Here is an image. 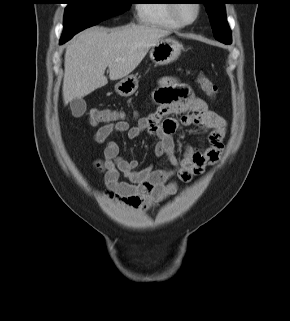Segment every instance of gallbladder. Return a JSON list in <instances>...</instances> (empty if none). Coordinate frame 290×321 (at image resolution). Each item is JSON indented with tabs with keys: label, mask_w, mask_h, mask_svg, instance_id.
<instances>
[{
	"label": "gallbladder",
	"mask_w": 290,
	"mask_h": 321,
	"mask_svg": "<svg viewBox=\"0 0 290 321\" xmlns=\"http://www.w3.org/2000/svg\"><path fill=\"white\" fill-rule=\"evenodd\" d=\"M72 115L76 118L81 117L86 111V102L81 98H75L70 102Z\"/></svg>",
	"instance_id": "obj_1"
}]
</instances>
